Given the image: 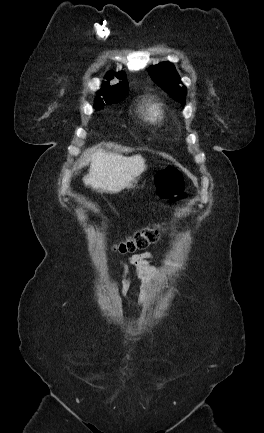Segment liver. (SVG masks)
<instances>
[{"mask_svg": "<svg viewBox=\"0 0 264 433\" xmlns=\"http://www.w3.org/2000/svg\"><path fill=\"white\" fill-rule=\"evenodd\" d=\"M87 152L84 156H87ZM146 169L141 155L131 157L106 153L101 148L90 155L89 173L83 177L85 186L98 192L117 193Z\"/></svg>", "mask_w": 264, "mask_h": 433, "instance_id": "liver-1", "label": "liver"}]
</instances>
